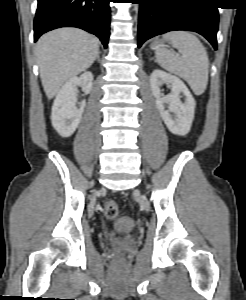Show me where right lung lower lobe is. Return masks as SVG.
Wrapping results in <instances>:
<instances>
[{
	"label": "right lung lower lobe",
	"instance_id": "1",
	"mask_svg": "<svg viewBox=\"0 0 246 300\" xmlns=\"http://www.w3.org/2000/svg\"><path fill=\"white\" fill-rule=\"evenodd\" d=\"M111 0H38L34 20V41L59 27H78L100 38L105 48L109 40Z\"/></svg>",
	"mask_w": 246,
	"mask_h": 300
}]
</instances>
